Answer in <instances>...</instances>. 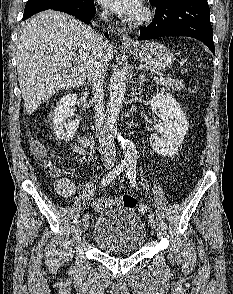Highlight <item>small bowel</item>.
<instances>
[{"label": "small bowel", "mask_w": 233, "mask_h": 294, "mask_svg": "<svg viewBox=\"0 0 233 294\" xmlns=\"http://www.w3.org/2000/svg\"><path fill=\"white\" fill-rule=\"evenodd\" d=\"M76 151L78 153H82L83 149L78 147V148H76ZM55 186H56V190L58 191V193L66 198H69L74 195H78L83 200H89L92 195V192H93L92 185L86 184L83 187L78 188L74 185V183L71 180L66 179V178L59 179L56 182ZM94 201L101 202V201H105V200L98 199V200H94ZM94 201H92V202H94ZM106 202H108V201H106Z\"/></svg>", "instance_id": "1"}]
</instances>
